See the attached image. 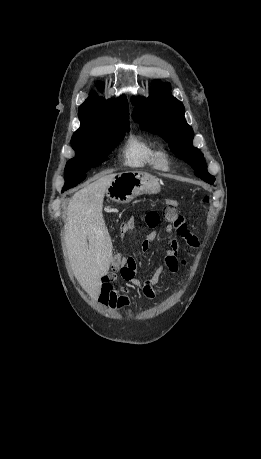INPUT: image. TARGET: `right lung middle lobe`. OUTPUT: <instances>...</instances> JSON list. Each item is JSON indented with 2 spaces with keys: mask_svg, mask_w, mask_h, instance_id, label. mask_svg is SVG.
<instances>
[{
  "mask_svg": "<svg viewBox=\"0 0 261 459\" xmlns=\"http://www.w3.org/2000/svg\"><path fill=\"white\" fill-rule=\"evenodd\" d=\"M129 131L128 123L73 135L71 145L76 157L66 164L63 191L82 182L86 172L105 161L110 151L123 139L125 132Z\"/></svg>",
  "mask_w": 261,
  "mask_h": 459,
  "instance_id": "dd1d6c3e",
  "label": "right lung middle lobe"
}]
</instances>
